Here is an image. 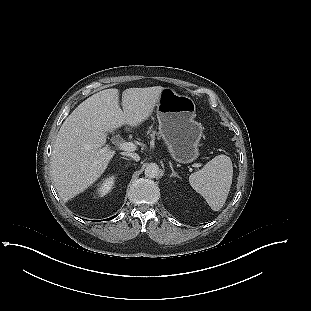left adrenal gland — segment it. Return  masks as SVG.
I'll return each instance as SVG.
<instances>
[{"mask_svg":"<svg viewBox=\"0 0 311 311\" xmlns=\"http://www.w3.org/2000/svg\"><path fill=\"white\" fill-rule=\"evenodd\" d=\"M169 165H170V168H171V171H172V173H171L170 177H178V178H179L178 174L174 171V169H173V166H172V163H171V162H169Z\"/></svg>","mask_w":311,"mask_h":311,"instance_id":"a2214340","label":"left adrenal gland"}]
</instances>
